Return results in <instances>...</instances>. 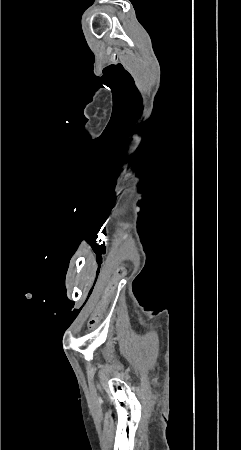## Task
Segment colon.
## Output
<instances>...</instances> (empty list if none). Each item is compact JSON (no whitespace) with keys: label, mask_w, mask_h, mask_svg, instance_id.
<instances>
[{"label":"colon","mask_w":241,"mask_h":450,"mask_svg":"<svg viewBox=\"0 0 241 450\" xmlns=\"http://www.w3.org/2000/svg\"><path fill=\"white\" fill-rule=\"evenodd\" d=\"M125 274V269L123 267H120L117 271V276L121 277ZM117 282L115 280H110L108 282V285L106 286L103 296L100 299V302H98L94 313L89 318L88 321V329H93L99 321L100 317H104L105 311H107L108 306H110L111 301L113 299V295L116 292Z\"/></svg>","instance_id":"1"}]
</instances>
